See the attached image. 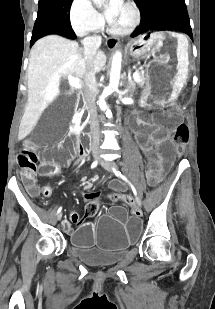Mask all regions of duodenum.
Instances as JSON below:
<instances>
[{
	"instance_id": "1",
	"label": "duodenum",
	"mask_w": 215,
	"mask_h": 309,
	"mask_svg": "<svg viewBox=\"0 0 215 309\" xmlns=\"http://www.w3.org/2000/svg\"><path fill=\"white\" fill-rule=\"evenodd\" d=\"M80 129H81V124H80V121L79 120H75L72 124V131L74 133H80ZM86 146L88 147L89 146V143L86 142Z\"/></svg>"
}]
</instances>
